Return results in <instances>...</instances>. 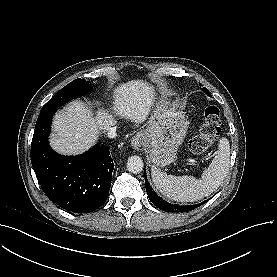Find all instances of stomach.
<instances>
[{
    "label": "stomach",
    "instance_id": "stomach-1",
    "mask_svg": "<svg viewBox=\"0 0 277 277\" xmlns=\"http://www.w3.org/2000/svg\"><path fill=\"white\" fill-rule=\"evenodd\" d=\"M188 122L175 103L160 99L146 128L141 130L145 151L156 166L172 163L179 146L186 137Z\"/></svg>",
    "mask_w": 277,
    "mask_h": 277
}]
</instances>
